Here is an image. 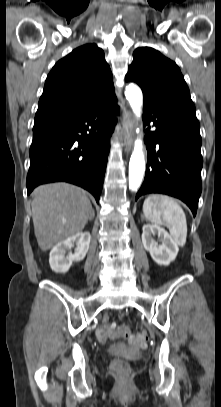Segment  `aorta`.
<instances>
[{
  "instance_id": "1",
  "label": "aorta",
  "mask_w": 221,
  "mask_h": 407,
  "mask_svg": "<svg viewBox=\"0 0 221 407\" xmlns=\"http://www.w3.org/2000/svg\"><path fill=\"white\" fill-rule=\"evenodd\" d=\"M125 96L128 100L133 113L140 119L143 106V95L141 89L134 84L125 88ZM139 130H137V133ZM145 171V158L141 138H137L134 143V149L129 162V188L137 191L140 187Z\"/></svg>"
}]
</instances>
